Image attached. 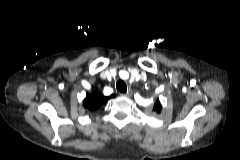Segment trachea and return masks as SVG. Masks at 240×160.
Here are the masks:
<instances>
[{
  "instance_id": "1",
  "label": "trachea",
  "mask_w": 240,
  "mask_h": 160,
  "mask_svg": "<svg viewBox=\"0 0 240 160\" xmlns=\"http://www.w3.org/2000/svg\"><path fill=\"white\" fill-rule=\"evenodd\" d=\"M117 90L121 93L127 92V86L126 83L123 80H119L116 84Z\"/></svg>"
}]
</instances>
